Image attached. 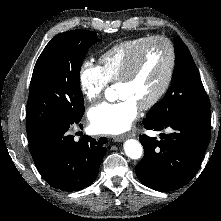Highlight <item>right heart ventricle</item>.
<instances>
[{
	"label": "right heart ventricle",
	"instance_id": "e07e8e85",
	"mask_svg": "<svg viewBox=\"0 0 221 221\" xmlns=\"http://www.w3.org/2000/svg\"><path fill=\"white\" fill-rule=\"evenodd\" d=\"M149 37H138L116 43L99 57L100 67L109 82H117L123 74L127 62Z\"/></svg>",
	"mask_w": 221,
	"mask_h": 221
}]
</instances>
